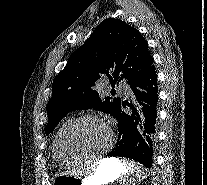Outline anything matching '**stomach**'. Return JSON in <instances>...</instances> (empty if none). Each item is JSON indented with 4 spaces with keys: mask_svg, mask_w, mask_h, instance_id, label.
<instances>
[{
    "mask_svg": "<svg viewBox=\"0 0 207 185\" xmlns=\"http://www.w3.org/2000/svg\"><path fill=\"white\" fill-rule=\"evenodd\" d=\"M125 165L122 160L115 158L103 159L95 172L89 176L79 178L68 175L55 177L52 185H106L122 177Z\"/></svg>",
    "mask_w": 207,
    "mask_h": 185,
    "instance_id": "1",
    "label": "stomach"
}]
</instances>
